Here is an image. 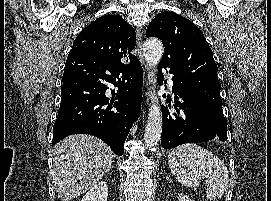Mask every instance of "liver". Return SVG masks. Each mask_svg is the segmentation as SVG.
<instances>
[{
    "mask_svg": "<svg viewBox=\"0 0 271 201\" xmlns=\"http://www.w3.org/2000/svg\"><path fill=\"white\" fill-rule=\"evenodd\" d=\"M51 178L61 201H70L88 191L110 169L113 154L99 138L71 135L54 149Z\"/></svg>",
    "mask_w": 271,
    "mask_h": 201,
    "instance_id": "6515ba94",
    "label": "liver"
}]
</instances>
